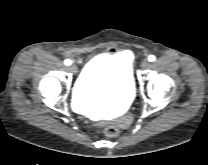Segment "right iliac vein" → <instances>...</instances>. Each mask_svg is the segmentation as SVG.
<instances>
[{"label": "right iliac vein", "mask_w": 208, "mask_h": 165, "mask_svg": "<svg viewBox=\"0 0 208 165\" xmlns=\"http://www.w3.org/2000/svg\"><path fill=\"white\" fill-rule=\"evenodd\" d=\"M69 69L73 74H76L78 72L77 66L74 64L70 65Z\"/></svg>", "instance_id": "right-iliac-vein-1"}]
</instances>
